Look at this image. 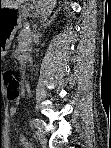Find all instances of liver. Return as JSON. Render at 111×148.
Wrapping results in <instances>:
<instances>
[{
    "label": "liver",
    "mask_w": 111,
    "mask_h": 148,
    "mask_svg": "<svg viewBox=\"0 0 111 148\" xmlns=\"http://www.w3.org/2000/svg\"><path fill=\"white\" fill-rule=\"evenodd\" d=\"M25 0H2V7H10L17 8L19 7Z\"/></svg>",
    "instance_id": "obj_1"
}]
</instances>
